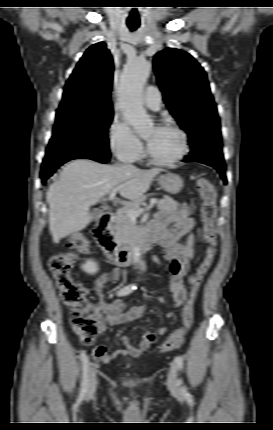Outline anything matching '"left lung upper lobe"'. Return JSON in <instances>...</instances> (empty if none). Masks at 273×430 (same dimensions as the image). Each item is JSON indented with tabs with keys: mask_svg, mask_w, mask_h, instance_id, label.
<instances>
[{
	"mask_svg": "<svg viewBox=\"0 0 273 430\" xmlns=\"http://www.w3.org/2000/svg\"><path fill=\"white\" fill-rule=\"evenodd\" d=\"M154 69L163 99L189 136V145L204 136L221 139L216 104L206 73L188 53L167 48L154 57Z\"/></svg>",
	"mask_w": 273,
	"mask_h": 430,
	"instance_id": "left-lung-upper-lobe-1",
	"label": "left lung upper lobe"
}]
</instances>
